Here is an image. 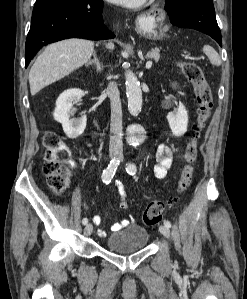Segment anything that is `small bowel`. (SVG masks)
Instances as JSON below:
<instances>
[{"mask_svg":"<svg viewBox=\"0 0 247 299\" xmlns=\"http://www.w3.org/2000/svg\"><path fill=\"white\" fill-rule=\"evenodd\" d=\"M157 161L158 164L154 167V174L155 177L158 179H162L167 175V172L169 168L171 167L172 161H173V155L171 149L164 145L161 144L159 145L157 149ZM120 195L122 198L125 197V187L121 183L116 184ZM120 207L122 209H125L127 207L126 203L124 201L121 202ZM92 221L95 225H99L101 223V216L100 215H94L92 217ZM130 223V220L126 219L123 220L121 223H115L112 225V230L116 231L119 230L122 226L128 225ZM99 235L100 236H105L106 232L104 230H99Z\"/></svg>","mask_w":247,"mask_h":299,"instance_id":"obj_1","label":"small bowel"}]
</instances>
